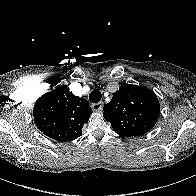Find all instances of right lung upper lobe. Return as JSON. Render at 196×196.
Instances as JSON below:
<instances>
[{"instance_id":"cb5924a9","label":"right lung upper lobe","mask_w":196,"mask_h":196,"mask_svg":"<svg viewBox=\"0 0 196 196\" xmlns=\"http://www.w3.org/2000/svg\"><path fill=\"white\" fill-rule=\"evenodd\" d=\"M91 113L86 99L73 95L67 86H61L37 100L33 116L44 135L67 142L81 136Z\"/></svg>"}]
</instances>
